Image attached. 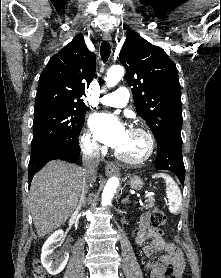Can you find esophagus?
Returning a JSON list of instances; mask_svg holds the SVG:
<instances>
[{
  "label": "esophagus",
  "instance_id": "obj_1",
  "mask_svg": "<svg viewBox=\"0 0 221 278\" xmlns=\"http://www.w3.org/2000/svg\"><path fill=\"white\" fill-rule=\"evenodd\" d=\"M103 40L104 41H111V35L110 33H104L103 34ZM105 173L107 175H113V174H118L119 173V168L117 165L113 163H108L105 165Z\"/></svg>",
  "mask_w": 221,
  "mask_h": 278
}]
</instances>
